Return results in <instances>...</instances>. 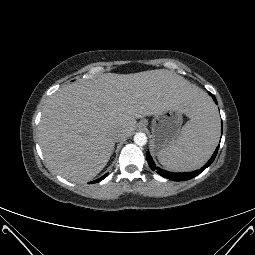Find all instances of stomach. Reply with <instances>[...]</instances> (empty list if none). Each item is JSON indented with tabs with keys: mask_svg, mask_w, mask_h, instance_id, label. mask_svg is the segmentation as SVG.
<instances>
[{
	"mask_svg": "<svg viewBox=\"0 0 255 255\" xmlns=\"http://www.w3.org/2000/svg\"><path fill=\"white\" fill-rule=\"evenodd\" d=\"M151 149L155 153L169 146L177 137L183 123L182 112L168 107L152 117Z\"/></svg>",
	"mask_w": 255,
	"mask_h": 255,
	"instance_id": "stomach-1",
	"label": "stomach"
}]
</instances>
